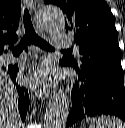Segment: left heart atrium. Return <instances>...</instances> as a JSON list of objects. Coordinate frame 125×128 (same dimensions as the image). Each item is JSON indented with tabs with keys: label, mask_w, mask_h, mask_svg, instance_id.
<instances>
[{
	"label": "left heart atrium",
	"mask_w": 125,
	"mask_h": 128,
	"mask_svg": "<svg viewBox=\"0 0 125 128\" xmlns=\"http://www.w3.org/2000/svg\"><path fill=\"white\" fill-rule=\"evenodd\" d=\"M29 81L35 88L44 90L55 83L56 76L49 66H42L31 75Z\"/></svg>",
	"instance_id": "1"
}]
</instances>
